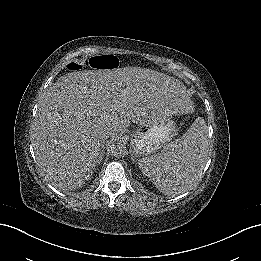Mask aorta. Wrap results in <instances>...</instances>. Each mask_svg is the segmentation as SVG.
Returning a JSON list of instances; mask_svg holds the SVG:
<instances>
[{
    "instance_id": "1",
    "label": "aorta",
    "mask_w": 261,
    "mask_h": 261,
    "mask_svg": "<svg viewBox=\"0 0 261 261\" xmlns=\"http://www.w3.org/2000/svg\"><path fill=\"white\" fill-rule=\"evenodd\" d=\"M123 148L124 145L122 144L121 141H119L118 145H116L115 150H114V155L118 156L123 153Z\"/></svg>"
}]
</instances>
